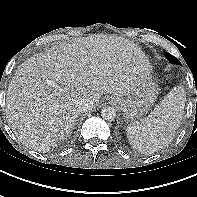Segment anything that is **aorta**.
Wrapping results in <instances>:
<instances>
[{
	"label": "aorta",
	"instance_id": "obj_1",
	"mask_svg": "<svg viewBox=\"0 0 197 197\" xmlns=\"http://www.w3.org/2000/svg\"><path fill=\"white\" fill-rule=\"evenodd\" d=\"M101 116L105 120L113 121L116 117V110L110 106L104 107L101 110Z\"/></svg>",
	"mask_w": 197,
	"mask_h": 197
}]
</instances>
